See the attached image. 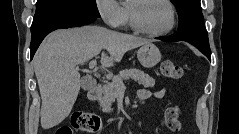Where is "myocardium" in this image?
I'll list each match as a JSON object with an SVG mask.
<instances>
[{
	"mask_svg": "<svg viewBox=\"0 0 239 134\" xmlns=\"http://www.w3.org/2000/svg\"><path fill=\"white\" fill-rule=\"evenodd\" d=\"M149 1V0H132L128 3V14H129V22L130 25L132 26V28L134 30H136L137 32L141 33V34H145L148 36H154V37H158V36H164L166 34H168L169 32H171L176 24V11L175 8L173 6V4L171 3V1L169 0H159L161 2H163L169 9L170 11V23L169 25L163 29V30H159V31H153V30H149L146 27H144L141 22L139 21L138 15H137V8L144 2Z\"/></svg>",
	"mask_w": 239,
	"mask_h": 134,
	"instance_id": "obj_1",
	"label": "myocardium"
}]
</instances>
